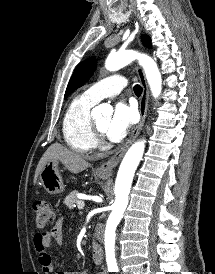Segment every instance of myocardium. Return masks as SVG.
I'll return each instance as SVG.
<instances>
[{
	"label": "myocardium",
	"instance_id": "f54148a6",
	"mask_svg": "<svg viewBox=\"0 0 215 274\" xmlns=\"http://www.w3.org/2000/svg\"><path fill=\"white\" fill-rule=\"evenodd\" d=\"M91 129L95 136H101L103 131L97 126L95 120L91 119Z\"/></svg>",
	"mask_w": 215,
	"mask_h": 274
}]
</instances>
